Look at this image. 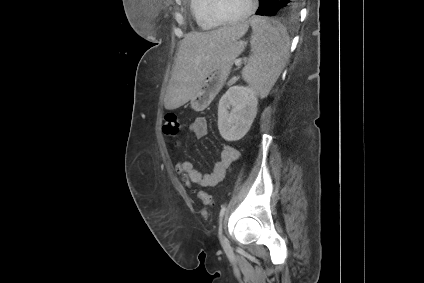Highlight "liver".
Here are the masks:
<instances>
[{
    "label": "liver",
    "instance_id": "6515ba94",
    "mask_svg": "<svg viewBox=\"0 0 424 283\" xmlns=\"http://www.w3.org/2000/svg\"><path fill=\"white\" fill-rule=\"evenodd\" d=\"M248 28V22H242L185 35L164 98L165 108L176 109L191 100L225 46L243 37Z\"/></svg>",
    "mask_w": 424,
    "mask_h": 283
}]
</instances>
